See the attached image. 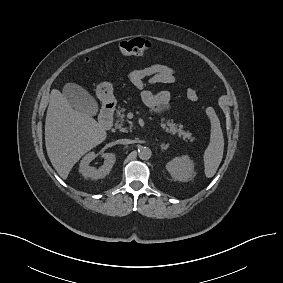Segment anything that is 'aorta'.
<instances>
[{"mask_svg": "<svg viewBox=\"0 0 283 283\" xmlns=\"http://www.w3.org/2000/svg\"><path fill=\"white\" fill-rule=\"evenodd\" d=\"M151 154H152V152H151L150 148H148V147H141L138 150L139 158L142 159V160H148L151 157Z\"/></svg>", "mask_w": 283, "mask_h": 283, "instance_id": "obj_1", "label": "aorta"}]
</instances>
